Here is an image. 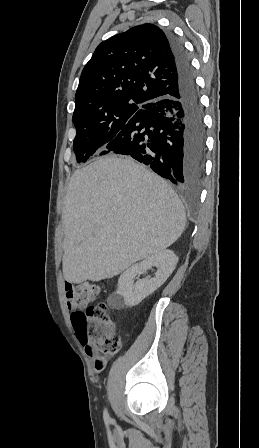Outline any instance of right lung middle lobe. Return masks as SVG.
Segmentation results:
<instances>
[{"label":"right lung middle lobe","mask_w":259,"mask_h":448,"mask_svg":"<svg viewBox=\"0 0 259 448\" xmlns=\"http://www.w3.org/2000/svg\"><path fill=\"white\" fill-rule=\"evenodd\" d=\"M144 110L143 106L73 115L76 136L73 150L77 162H86L91 156L104 155L107 144L124 128L127 122Z\"/></svg>","instance_id":"obj_1"}]
</instances>
